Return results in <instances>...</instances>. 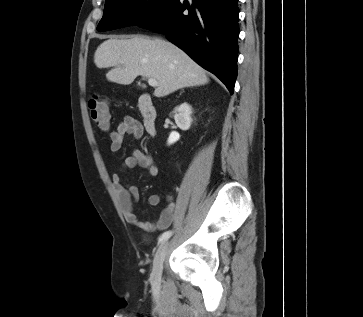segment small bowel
<instances>
[{"label":"small bowel","mask_w":363,"mask_h":317,"mask_svg":"<svg viewBox=\"0 0 363 317\" xmlns=\"http://www.w3.org/2000/svg\"><path fill=\"white\" fill-rule=\"evenodd\" d=\"M127 134H131L135 139L140 140L144 136V127L138 120L130 116L124 117L116 130L110 133V149L112 152H119L121 150L124 137ZM135 167L146 169L150 176H157L159 171L151 155L140 150H134L130 156H127L123 160L121 171ZM111 179L123 216L127 222L135 226L143 227L146 230H164L171 225L178 205L170 196L167 197L168 202L156 221L141 222L134 212L132 203L133 199L139 197L138 188L134 185H122L121 177L118 173L113 174ZM160 201L161 197L158 194H152L148 197V204L150 206H156Z\"/></svg>","instance_id":"1"}]
</instances>
